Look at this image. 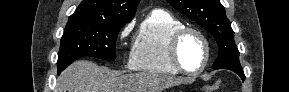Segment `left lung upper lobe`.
<instances>
[{"mask_svg": "<svg viewBox=\"0 0 289 92\" xmlns=\"http://www.w3.org/2000/svg\"><path fill=\"white\" fill-rule=\"evenodd\" d=\"M167 2L215 37L219 55L213 69L243 71L239 63V51L234 42V31L219 0H167Z\"/></svg>", "mask_w": 289, "mask_h": 92, "instance_id": "1", "label": "left lung upper lobe"}]
</instances>
